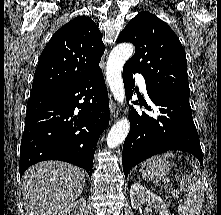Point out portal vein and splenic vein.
I'll list each match as a JSON object with an SVG mask.
<instances>
[{
	"instance_id": "1",
	"label": "portal vein and splenic vein",
	"mask_w": 221,
	"mask_h": 215,
	"mask_svg": "<svg viewBox=\"0 0 221 215\" xmlns=\"http://www.w3.org/2000/svg\"><path fill=\"white\" fill-rule=\"evenodd\" d=\"M173 192H174V194H176V195L178 194V192H175V191H173Z\"/></svg>"
}]
</instances>
